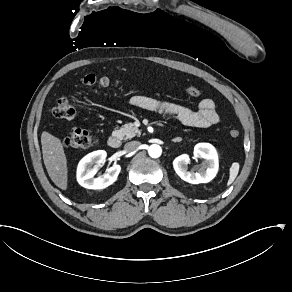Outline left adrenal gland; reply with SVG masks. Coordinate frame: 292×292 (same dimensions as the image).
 I'll use <instances>...</instances> for the list:
<instances>
[{
	"label": "left adrenal gland",
	"mask_w": 292,
	"mask_h": 292,
	"mask_svg": "<svg viewBox=\"0 0 292 292\" xmlns=\"http://www.w3.org/2000/svg\"><path fill=\"white\" fill-rule=\"evenodd\" d=\"M181 141H182V138H180V137L177 138V139H173L172 140V142H174V143H178V142H181Z\"/></svg>",
	"instance_id": "obj_1"
}]
</instances>
